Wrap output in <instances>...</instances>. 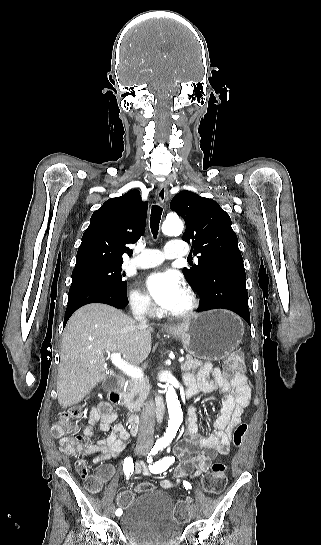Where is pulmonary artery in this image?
Returning <instances> with one entry per match:
<instances>
[{"mask_svg": "<svg viewBox=\"0 0 321 545\" xmlns=\"http://www.w3.org/2000/svg\"><path fill=\"white\" fill-rule=\"evenodd\" d=\"M165 247L166 252L157 249L143 250L141 254L142 259L131 260L130 265L136 269H147L161 264L164 259L168 261H180L183 257L184 260L189 261L193 257L192 252L189 250L184 251L182 254L180 241H168Z\"/></svg>", "mask_w": 321, "mask_h": 545, "instance_id": "obj_1", "label": "pulmonary artery"}]
</instances>
